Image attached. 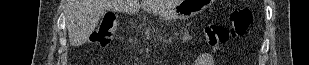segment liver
<instances>
[{
	"mask_svg": "<svg viewBox=\"0 0 309 65\" xmlns=\"http://www.w3.org/2000/svg\"><path fill=\"white\" fill-rule=\"evenodd\" d=\"M66 24L72 46L85 43L97 27L105 11L135 14L140 8L150 13H163L173 8L174 0H67Z\"/></svg>",
	"mask_w": 309,
	"mask_h": 65,
	"instance_id": "liver-1",
	"label": "liver"
}]
</instances>
